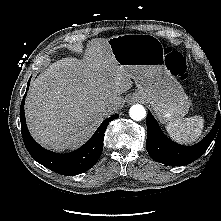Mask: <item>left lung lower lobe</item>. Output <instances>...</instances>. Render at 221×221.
<instances>
[{
  "label": "left lung lower lobe",
  "mask_w": 221,
  "mask_h": 221,
  "mask_svg": "<svg viewBox=\"0 0 221 221\" xmlns=\"http://www.w3.org/2000/svg\"><path fill=\"white\" fill-rule=\"evenodd\" d=\"M146 125L148 154L153 160L172 166H183L195 161L207 150L216 133L221 134V116L219 112L209 134L193 146H183L167 138L150 111H148Z\"/></svg>",
  "instance_id": "left-lung-lower-lobe-1"
}]
</instances>
